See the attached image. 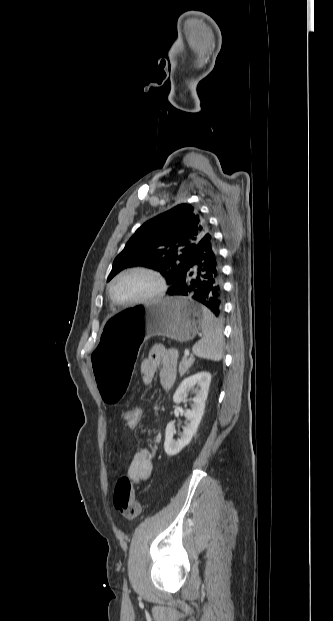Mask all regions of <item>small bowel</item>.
<instances>
[{
  "mask_svg": "<svg viewBox=\"0 0 333 621\" xmlns=\"http://www.w3.org/2000/svg\"><path fill=\"white\" fill-rule=\"evenodd\" d=\"M178 354L173 349L154 346L148 357L141 364V375L144 383L152 382L156 371L159 369V383L163 390L170 389L177 375ZM160 437L154 439L152 449L138 450L129 465L127 475L133 483L140 484L147 480L153 470L154 453Z\"/></svg>",
  "mask_w": 333,
  "mask_h": 621,
  "instance_id": "1",
  "label": "small bowel"
}]
</instances>
